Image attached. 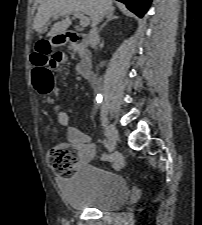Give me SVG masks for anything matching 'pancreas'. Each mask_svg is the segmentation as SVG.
Instances as JSON below:
<instances>
[{"instance_id":"pancreas-1","label":"pancreas","mask_w":202,"mask_h":225,"mask_svg":"<svg viewBox=\"0 0 202 225\" xmlns=\"http://www.w3.org/2000/svg\"><path fill=\"white\" fill-rule=\"evenodd\" d=\"M81 53V50L79 51V54ZM74 57V55H72Z\"/></svg>"}]
</instances>
